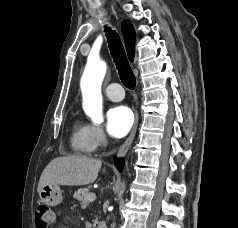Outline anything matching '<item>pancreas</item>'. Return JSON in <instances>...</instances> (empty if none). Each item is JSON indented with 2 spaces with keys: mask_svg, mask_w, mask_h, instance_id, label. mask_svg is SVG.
Masks as SVG:
<instances>
[{
  "mask_svg": "<svg viewBox=\"0 0 238 228\" xmlns=\"http://www.w3.org/2000/svg\"><path fill=\"white\" fill-rule=\"evenodd\" d=\"M89 194H90V192L88 191V189H86V188H80V189H78V191H76V192L73 194V197H74L75 199H77L78 201H80V202L82 203V205H87V204H89L90 202H92V201H87V200H85V197H86L87 195H89ZM97 223H98L97 220H94V221H93L94 226H95Z\"/></svg>",
  "mask_w": 238,
  "mask_h": 228,
  "instance_id": "cf45deb5",
  "label": "pancreas"
}]
</instances>
